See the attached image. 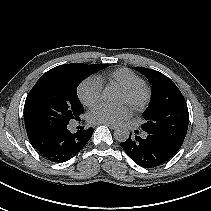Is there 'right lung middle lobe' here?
Instances as JSON below:
<instances>
[{"label":"right lung middle lobe","instance_id":"obj_1","mask_svg":"<svg viewBox=\"0 0 211 211\" xmlns=\"http://www.w3.org/2000/svg\"><path fill=\"white\" fill-rule=\"evenodd\" d=\"M108 65L77 63L66 75L40 77L25 101L26 131L52 129L78 119L84 108L77 97V86L83 79Z\"/></svg>","mask_w":211,"mask_h":211}]
</instances>
